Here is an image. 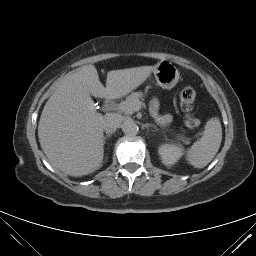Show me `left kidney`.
Here are the masks:
<instances>
[{
	"mask_svg": "<svg viewBox=\"0 0 256 256\" xmlns=\"http://www.w3.org/2000/svg\"><path fill=\"white\" fill-rule=\"evenodd\" d=\"M182 147L178 145L164 144L159 147V154L165 165H173L182 155Z\"/></svg>",
	"mask_w": 256,
	"mask_h": 256,
	"instance_id": "obj_1",
	"label": "left kidney"
}]
</instances>
